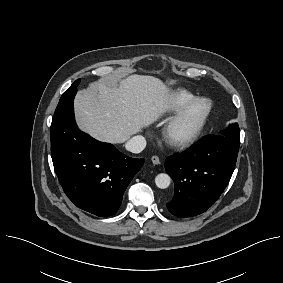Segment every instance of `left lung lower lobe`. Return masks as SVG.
<instances>
[{"instance_id":"left-lung-lower-lobe-1","label":"left lung lower lobe","mask_w":283,"mask_h":283,"mask_svg":"<svg viewBox=\"0 0 283 283\" xmlns=\"http://www.w3.org/2000/svg\"><path fill=\"white\" fill-rule=\"evenodd\" d=\"M239 145L222 135H208L187 152L167 158L165 169L175 184L168 210L189 217L209 209L232 176Z\"/></svg>"}]
</instances>
